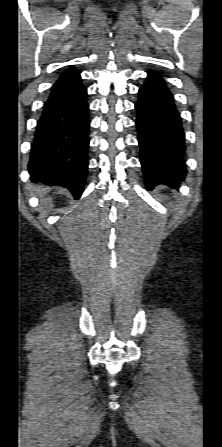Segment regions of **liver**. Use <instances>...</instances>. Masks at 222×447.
I'll return each mask as SVG.
<instances>
[{
  "label": "liver",
  "instance_id": "obj_1",
  "mask_svg": "<svg viewBox=\"0 0 222 447\" xmlns=\"http://www.w3.org/2000/svg\"><path fill=\"white\" fill-rule=\"evenodd\" d=\"M45 192H46V189H39V190H38V194H39V196L42 195V194L45 193Z\"/></svg>",
  "mask_w": 222,
  "mask_h": 447
}]
</instances>
